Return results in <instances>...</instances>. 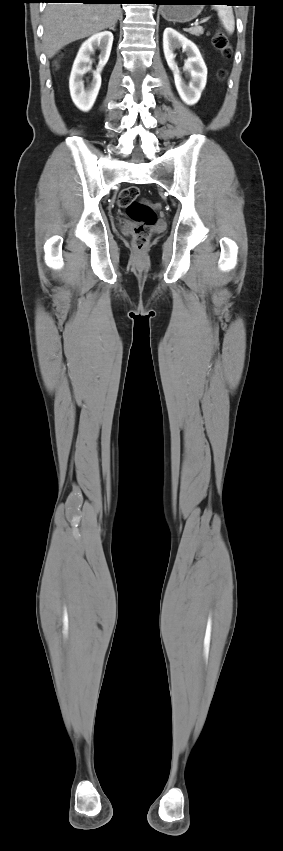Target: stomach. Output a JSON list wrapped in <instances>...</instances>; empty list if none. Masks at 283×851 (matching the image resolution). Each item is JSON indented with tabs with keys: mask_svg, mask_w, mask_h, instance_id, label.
I'll return each mask as SVG.
<instances>
[{
	"mask_svg": "<svg viewBox=\"0 0 283 851\" xmlns=\"http://www.w3.org/2000/svg\"><path fill=\"white\" fill-rule=\"evenodd\" d=\"M204 0H171L160 8L164 19L172 22H188L196 18L202 11Z\"/></svg>",
	"mask_w": 283,
	"mask_h": 851,
	"instance_id": "stomach-1",
	"label": "stomach"
}]
</instances>
